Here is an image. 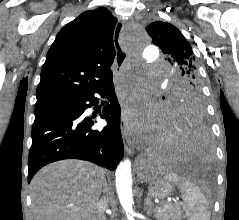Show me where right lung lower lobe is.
I'll list each match as a JSON object with an SVG mask.
<instances>
[{
	"mask_svg": "<svg viewBox=\"0 0 239 220\" xmlns=\"http://www.w3.org/2000/svg\"><path fill=\"white\" fill-rule=\"evenodd\" d=\"M109 77L92 92L69 101L35 108L32 126V145L28 159V183L46 164L63 159L88 160L114 170L123 158V140L120 131V106ZM109 99L101 117L108 122L102 130H92L95 123L83 117L84 111L97 105L99 99Z\"/></svg>",
	"mask_w": 239,
	"mask_h": 220,
	"instance_id": "98d812e1",
	"label": "right lung lower lobe"
}]
</instances>
